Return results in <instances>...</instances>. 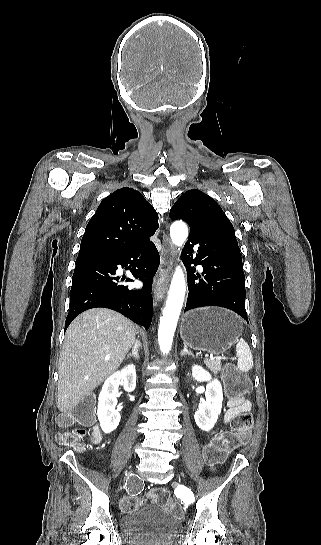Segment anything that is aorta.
<instances>
[{
	"label": "aorta",
	"mask_w": 321,
	"mask_h": 545,
	"mask_svg": "<svg viewBox=\"0 0 321 545\" xmlns=\"http://www.w3.org/2000/svg\"><path fill=\"white\" fill-rule=\"evenodd\" d=\"M170 236L176 246L184 245L188 237V228L182 221L174 222L170 227ZM186 292V281L180 266H177L168 293L166 306L160 318L158 343L163 354L169 353L177 322L183 306Z\"/></svg>",
	"instance_id": "obj_1"
}]
</instances>
